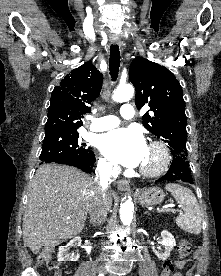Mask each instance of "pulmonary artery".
Returning a JSON list of instances; mask_svg holds the SVG:
<instances>
[{
    "mask_svg": "<svg viewBox=\"0 0 221 276\" xmlns=\"http://www.w3.org/2000/svg\"><path fill=\"white\" fill-rule=\"evenodd\" d=\"M120 114L124 119H131L134 116V108L131 104H123L120 108ZM119 125V119L116 116H104L93 121L90 129L92 131H105Z\"/></svg>",
    "mask_w": 221,
    "mask_h": 276,
    "instance_id": "1",
    "label": "pulmonary artery"
}]
</instances>
